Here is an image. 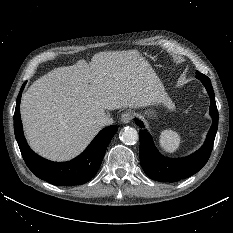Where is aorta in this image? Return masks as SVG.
I'll list each match as a JSON object with an SVG mask.
<instances>
[{"label":"aorta","instance_id":"obj_1","mask_svg":"<svg viewBox=\"0 0 233 233\" xmlns=\"http://www.w3.org/2000/svg\"><path fill=\"white\" fill-rule=\"evenodd\" d=\"M120 140L126 145H133L138 140V132L132 127H125L120 134Z\"/></svg>","mask_w":233,"mask_h":233}]
</instances>
